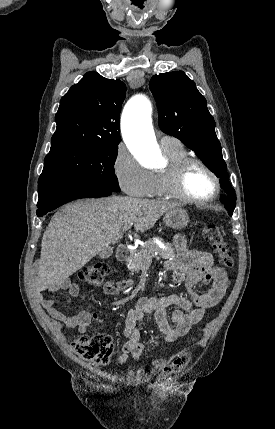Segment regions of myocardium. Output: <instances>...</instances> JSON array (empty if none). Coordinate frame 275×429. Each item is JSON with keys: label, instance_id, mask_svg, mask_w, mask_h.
I'll return each mask as SVG.
<instances>
[{"label": "myocardium", "instance_id": "f54148a6", "mask_svg": "<svg viewBox=\"0 0 275 429\" xmlns=\"http://www.w3.org/2000/svg\"><path fill=\"white\" fill-rule=\"evenodd\" d=\"M194 165L201 166L213 179L215 189L213 194L203 200H198L186 194L183 188V182L187 171ZM164 173L167 180V188L170 195L176 199L193 205H207L217 199L221 191V182L217 173L202 159L197 157L187 156L172 164H169Z\"/></svg>", "mask_w": 275, "mask_h": 429}]
</instances>
